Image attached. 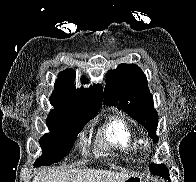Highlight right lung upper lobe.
<instances>
[{
    "label": "right lung upper lobe",
    "instance_id": "obj_1",
    "mask_svg": "<svg viewBox=\"0 0 196 182\" xmlns=\"http://www.w3.org/2000/svg\"><path fill=\"white\" fill-rule=\"evenodd\" d=\"M75 72L66 69L59 73L50 102L54 106L51 112H64L79 116H90L98 113L102 104L103 93L100 85L76 89ZM82 80H86L82 77ZM87 83V82H86Z\"/></svg>",
    "mask_w": 196,
    "mask_h": 182
}]
</instances>
